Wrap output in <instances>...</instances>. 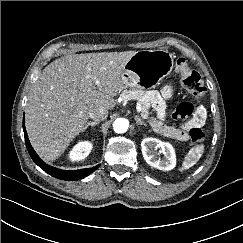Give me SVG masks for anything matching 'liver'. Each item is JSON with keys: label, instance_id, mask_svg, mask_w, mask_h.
<instances>
[{"label": "liver", "instance_id": "6515ba94", "mask_svg": "<svg viewBox=\"0 0 243 243\" xmlns=\"http://www.w3.org/2000/svg\"><path fill=\"white\" fill-rule=\"evenodd\" d=\"M135 51L71 54L46 66L32 86L25 109L35 151L56 160L83 132L89 111L111 110L123 88L121 75Z\"/></svg>", "mask_w": 243, "mask_h": 243}]
</instances>
